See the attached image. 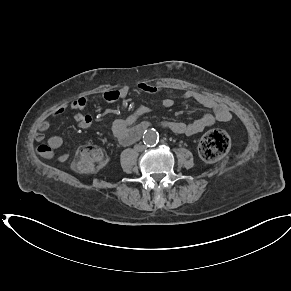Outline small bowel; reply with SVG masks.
Wrapping results in <instances>:
<instances>
[{
    "mask_svg": "<svg viewBox=\"0 0 291 291\" xmlns=\"http://www.w3.org/2000/svg\"><path fill=\"white\" fill-rule=\"evenodd\" d=\"M138 88L146 93L158 94L161 88L148 82H140ZM130 93V88L127 86L118 89H108L103 93V99L108 103H118L127 100ZM182 98L184 100H194L207 110L201 117L192 122L186 123L182 121H166L161 124L176 134L194 135L202 132L206 128L214 125L217 122H228L232 118L229 108L223 103L217 102L208 95L187 89L183 91ZM88 100L86 97H79L64 106L55 109L48 118L44 119L40 125L35 139L41 142L45 138V133L50 127L51 119L63 116L68 110L73 111V119L76 125L80 128L90 127L94 119L92 115L86 112ZM174 104L173 99L165 98L162 101L164 108H171ZM151 112L148 106H139L127 119H117L112 126L114 136L122 145H130L137 141L142 133L146 130L145 125L148 122L136 123L137 120L145 114ZM64 145V140L60 136H51L47 140V144L40 145L38 153L48 159L55 157L54 150L59 149ZM41 147L46 148V151L41 150ZM69 154H61L57 157L59 162H66L69 159Z\"/></svg>",
    "mask_w": 291,
    "mask_h": 291,
    "instance_id": "c3829d8e",
    "label": "small bowel"
}]
</instances>
